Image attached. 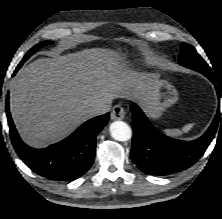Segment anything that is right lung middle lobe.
<instances>
[{
  "instance_id": "right-lung-middle-lobe-1",
  "label": "right lung middle lobe",
  "mask_w": 222,
  "mask_h": 219,
  "mask_svg": "<svg viewBox=\"0 0 222 219\" xmlns=\"http://www.w3.org/2000/svg\"><path fill=\"white\" fill-rule=\"evenodd\" d=\"M52 41H43L40 42L39 44L35 45L23 58V60L20 62V64L18 65V67L20 68L22 66V64L33 54L35 53L37 50H39L41 47H43L44 45H48V44H52Z\"/></svg>"
}]
</instances>
